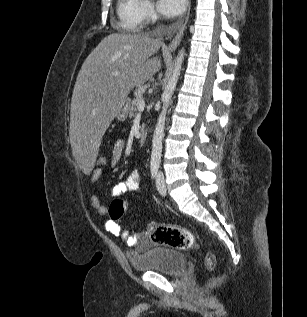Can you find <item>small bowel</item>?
Listing matches in <instances>:
<instances>
[{"mask_svg":"<svg viewBox=\"0 0 307 317\" xmlns=\"http://www.w3.org/2000/svg\"><path fill=\"white\" fill-rule=\"evenodd\" d=\"M126 149V142L123 139L115 141L111 157L108 162L107 168L113 169L117 166L119 161L122 159ZM102 176V169L96 168L92 170L90 174V180L92 184H96ZM140 186V175L137 170L132 171L125 181L119 182L114 185L110 191L111 196L117 197L124 195L129 192H134L139 189ZM91 203L99 215H105L107 213V207L100 201L96 194H92ZM106 229L116 236H120L122 240L129 246L138 245L140 248H144L147 245V236L141 232L135 236H130L128 231L123 229L116 222L108 220L105 223Z\"/></svg>","mask_w":307,"mask_h":317,"instance_id":"obj_1","label":"small bowel"}]
</instances>
